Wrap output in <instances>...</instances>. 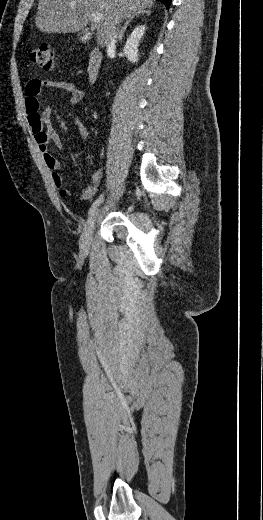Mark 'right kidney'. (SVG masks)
Returning a JSON list of instances; mask_svg holds the SVG:
<instances>
[{"mask_svg":"<svg viewBox=\"0 0 263 520\" xmlns=\"http://www.w3.org/2000/svg\"><path fill=\"white\" fill-rule=\"evenodd\" d=\"M145 29V25L137 26L127 38L123 51L127 59L132 63H136L139 59L138 46Z\"/></svg>","mask_w":263,"mask_h":520,"instance_id":"right-kidney-1","label":"right kidney"}]
</instances>
